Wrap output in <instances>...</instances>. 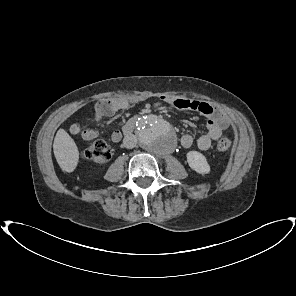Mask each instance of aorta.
I'll list each match as a JSON object with an SVG mask.
<instances>
[{
    "label": "aorta",
    "instance_id": "aorta-1",
    "mask_svg": "<svg viewBox=\"0 0 296 296\" xmlns=\"http://www.w3.org/2000/svg\"><path fill=\"white\" fill-rule=\"evenodd\" d=\"M137 136L140 146L152 154L164 155L176 146L175 131L171 124L155 115L138 120Z\"/></svg>",
    "mask_w": 296,
    "mask_h": 296
}]
</instances>
